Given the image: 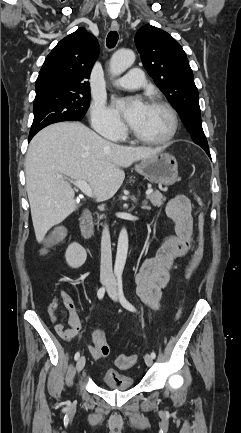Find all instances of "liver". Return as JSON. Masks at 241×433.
<instances>
[{
  "label": "liver",
  "instance_id": "liver-1",
  "mask_svg": "<svg viewBox=\"0 0 241 433\" xmlns=\"http://www.w3.org/2000/svg\"><path fill=\"white\" fill-rule=\"evenodd\" d=\"M161 150L112 143L79 122H60L41 130L29 144L25 163L37 241L42 242L50 228L77 208L68 178L87 181L97 201L108 200L125 179L122 168Z\"/></svg>",
  "mask_w": 241,
  "mask_h": 433
}]
</instances>
